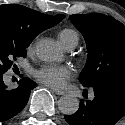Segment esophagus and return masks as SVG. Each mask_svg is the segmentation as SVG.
I'll use <instances>...</instances> for the list:
<instances>
[{"label":"esophagus","mask_w":125,"mask_h":125,"mask_svg":"<svg viewBox=\"0 0 125 125\" xmlns=\"http://www.w3.org/2000/svg\"><path fill=\"white\" fill-rule=\"evenodd\" d=\"M52 91H53L55 94L59 95V96L64 95V91H62V90L52 89Z\"/></svg>","instance_id":"obj_1"}]
</instances>
